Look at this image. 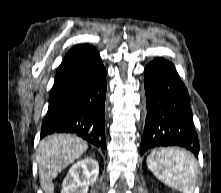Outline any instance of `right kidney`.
Segmentation results:
<instances>
[{
    "mask_svg": "<svg viewBox=\"0 0 221 193\" xmlns=\"http://www.w3.org/2000/svg\"><path fill=\"white\" fill-rule=\"evenodd\" d=\"M99 175L98 161L91 157L76 162L62 183L61 193H87Z\"/></svg>",
    "mask_w": 221,
    "mask_h": 193,
    "instance_id": "1",
    "label": "right kidney"
}]
</instances>
